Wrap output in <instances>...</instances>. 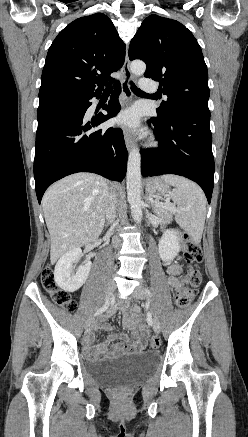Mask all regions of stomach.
I'll return each mask as SVG.
<instances>
[{
	"instance_id": "1",
	"label": "stomach",
	"mask_w": 248,
	"mask_h": 437,
	"mask_svg": "<svg viewBox=\"0 0 248 437\" xmlns=\"http://www.w3.org/2000/svg\"><path fill=\"white\" fill-rule=\"evenodd\" d=\"M146 191L157 200H166L170 196L169 185L158 177L147 180Z\"/></svg>"
}]
</instances>
